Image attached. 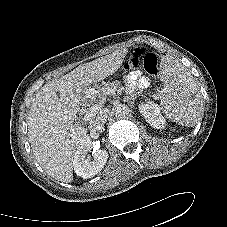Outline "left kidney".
Wrapping results in <instances>:
<instances>
[{
  "label": "left kidney",
  "instance_id": "obj_1",
  "mask_svg": "<svg viewBox=\"0 0 227 227\" xmlns=\"http://www.w3.org/2000/svg\"><path fill=\"white\" fill-rule=\"evenodd\" d=\"M139 111L153 128H165V119L161 114L160 108L154 102L141 103Z\"/></svg>",
  "mask_w": 227,
  "mask_h": 227
}]
</instances>
